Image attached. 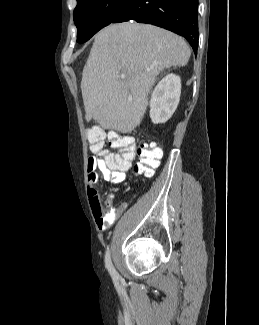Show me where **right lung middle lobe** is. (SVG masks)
Masks as SVG:
<instances>
[{
  "label": "right lung middle lobe",
  "instance_id": "1",
  "mask_svg": "<svg viewBox=\"0 0 259 325\" xmlns=\"http://www.w3.org/2000/svg\"><path fill=\"white\" fill-rule=\"evenodd\" d=\"M126 0H77L73 13L77 42L84 43L109 25Z\"/></svg>",
  "mask_w": 259,
  "mask_h": 325
}]
</instances>
